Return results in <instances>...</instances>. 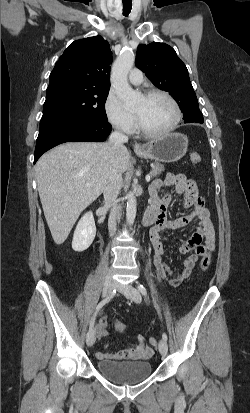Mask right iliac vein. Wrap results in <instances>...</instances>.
Returning <instances> with one entry per match:
<instances>
[{"label": "right iliac vein", "mask_w": 250, "mask_h": 413, "mask_svg": "<svg viewBox=\"0 0 250 413\" xmlns=\"http://www.w3.org/2000/svg\"><path fill=\"white\" fill-rule=\"evenodd\" d=\"M115 287V281L111 276H107L103 285V297H107ZM96 341L95 329H90L86 335V343L88 346H92Z\"/></svg>", "instance_id": "obj_1"}]
</instances>
